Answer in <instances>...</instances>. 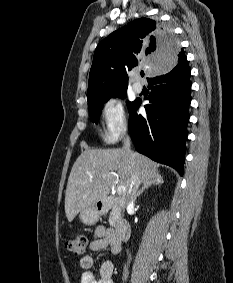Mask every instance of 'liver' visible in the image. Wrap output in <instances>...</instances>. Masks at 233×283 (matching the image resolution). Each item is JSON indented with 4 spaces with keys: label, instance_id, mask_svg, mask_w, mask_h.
<instances>
[{
    "label": "liver",
    "instance_id": "6515ba94",
    "mask_svg": "<svg viewBox=\"0 0 233 283\" xmlns=\"http://www.w3.org/2000/svg\"><path fill=\"white\" fill-rule=\"evenodd\" d=\"M116 176L127 191L133 176L139 184L154 182L159 176L158 164L125 149L85 150L75 161L67 182L65 213L68 221L71 222L84 208L105 200Z\"/></svg>",
    "mask_w": 233,
    "mask_h": 283
}]
</instances>
